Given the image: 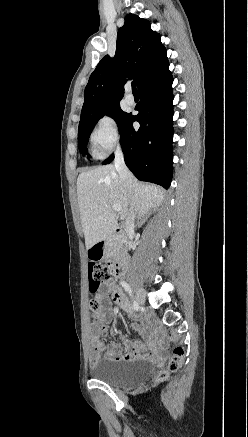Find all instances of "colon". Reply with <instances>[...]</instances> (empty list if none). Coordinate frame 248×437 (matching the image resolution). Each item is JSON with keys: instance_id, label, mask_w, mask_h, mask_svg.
Listing matches in <instances>:
<instances>
[{"instance_id": "5ec220e1", "label": "colon", "mask_w": 248, "mask_h": 437, "mask_svg": "<svg viewBox=\"0 0 248 437\" xmlns=\"http://www.w3.org/2000/svg\"><path fill=\"white\" fill-rule=\"evenodd\" d=\"M112 275V270L109 266L97 263L92 259L88 264V279L89 289L91 292L98 291L99 285L106 283ZM91 309L100 311V303L93 299L90 303ZM184 355V350L181 347H175L172 356L169 358L166 369L160 371L155 378L156 382H161L169 375L176 371L181 364Z\"/></svg>"}]
</instances>
